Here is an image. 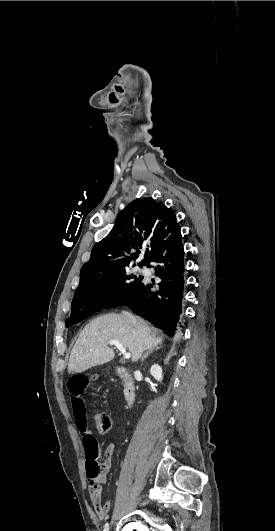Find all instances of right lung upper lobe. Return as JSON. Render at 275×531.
<instances>
[{"mask_svg":"<svg viewBox=\"0 0 275 531\" xmlns=\"http://www.w3.org/2000/svg\"><path fill=\"white\" fill-rule=\"evenodd\" d=\"M177 227L175 215L164 204L152 198L134 200L119 212L110 233L93 247L81 269L78 288L98 276L127 268L142 247L147 249L138 265H147Z\"/></svg>","mask_w":275,"mask_h":531,"instance_id":"1","label":"right lung upper lobe"}]
</instances>
